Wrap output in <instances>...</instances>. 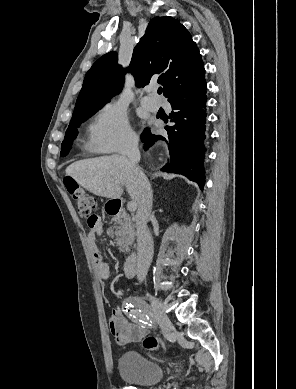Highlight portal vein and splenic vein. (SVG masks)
<instances>
[{"label": "portal vein and splenic vein", "mask_w": 296, "mask_h": 389, "mask_svg": "<svg viewBox=\"0 0 296 389\" xmlns=\"http://www.w3.org/2000/svg\"><path fill=\"white\" fill-rule=\"evenodd\" d=\"M136 208H137V203H136V202H134V201L128 202V204H127V209H128L129 211H135Z\"/></svg>", "instance_id": "obj_1"}]
</instances>
